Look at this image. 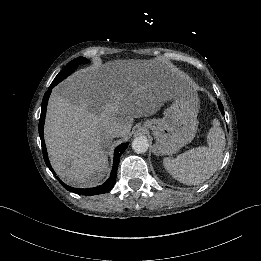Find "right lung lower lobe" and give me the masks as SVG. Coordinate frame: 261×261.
Returning a JSON list of instances; mask_svg holds the SVG:
<instances>
[{
    "instance_id": "98d812e1",
    "label": "right lung lower lobe",
    "mask_w": 261,
    "mask_h": 261,
    "mask_svg": "<svg viewBox=\"0 0 261 261\" xmlns=\"http://www.w3.org/2000/svg\"><path fill=\"white\" fill-rule=\"evenodd\" d=\"M53 87H54L53 85H50L49 89L46 91V93L43 97V100H42L41 115H40V120H39V135H40V139H41L44 161H45L46 165L48 166V168L56 176V173L52 169L50 161L48 159V154H47L46 145H45L44 136H43L47 103H48V99H49V96L51 94ZM128 144H129L128 142L123 143L115 149L114 158H113V166H112L110 177L102 185L92 187V188H74V187L68 186L65 183H63L62 181H60V179L58 177H56V178H57V180H59V182L62 184V186L70 192H74V193H77L80 195H85V196L104 194V193L110 191L115 184L116 177H117V168H118V164L120 161V157H121L122 153L124 152V150L126 149V147L128 146Z\"/></svg>"
}]
</instances>
